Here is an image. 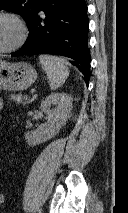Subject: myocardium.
Listing matches in <instances>:
<instances>
[{
    "label": "myocardium",
    "instance_id": "1",
    "mask_svg": "<svg viewBox=\"0 0 128 213\" xmlns=\"http://www.w3.org/2000/svg\"><path fill=\"white\" fill-rule=\"evenodd\" d=\"M0 17H5L12 20L18 28V38L9 47L0 49V54L11 53L18 50L25 43L28 35V29L24 20L16 13L11 11H0Z\"/></svg>",
    "mask_w": 128,
    "mask_h": 213
}]
</instances>
